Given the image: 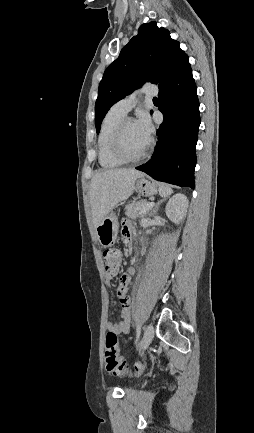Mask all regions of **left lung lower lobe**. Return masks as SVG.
I'll use <instances>...</instances> for the list:
<instances>
[{
	"instance_id": "left-lung-lower-lobe-1",
	"label": "left lung lower lobe",
	"mask_w": 254,
	"mask_h": 433,
	"mask_svg": "<svg viewBox=\"0 0 254 433\" xmlns=\"http://www.w3.org/2000/svg\"><path fill=\"white\" fill-rule=\"evenodd\" d=\"M196 90L189 58L184 53L159 86V110L164 121L157 130L154 154L136 169L158 181L194 188L195 147L200 125Z\"/></svg>"
}]
</instances>
